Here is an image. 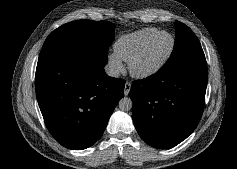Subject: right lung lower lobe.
I'll use <instances>...</instances> for the list:
<instances>
[{
  "mask_svg": "<svg viewBox=\"0 0 237 169\" xmlns=\"http://www.w3.org/2000/svg\"><path fill=\"white\" fill-rule=\"evenodd\" d=\"M106 52L94 48L41 50L36 95L45 124L64 147L82 150L103 134L125 81L106 75Z\"/></svg>",
  "mask_w": 237,
  "mask_h": 169,
  "instance_id": "1",
  "label": "right lung lower lobe"
}]
</instances>
